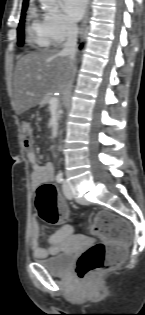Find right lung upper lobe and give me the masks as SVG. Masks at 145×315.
Listing matches in <instances>:
<instances>
[{"label": "right lung upper lobe", "mask_w": 145, "mask_h": 315, "mask_svg": "<svg viewBox=\"0 0 145 315\" xmlns=\"http://www.w3.org/2000/svg\"><path fill=\"white\" fill-rule=\"evenodd\" d=\"M28 5V0H24L23 1V7L27 6Z\"/></svg>", "instance_id": "cb5924a9"}]
</instances>
